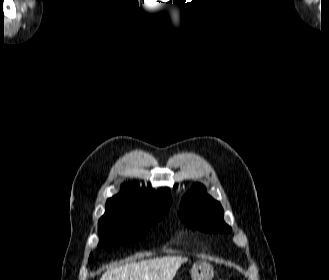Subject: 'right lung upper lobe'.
<instances>
[{
  "instance_id": "obj_1",
  "label": "right lung upper lobe",
  "mask_w": 329,
  "mask_h": 280,
  "mask_svg": "<svg viewBox=\"0 0 329 280\" xmlns=\"http://www.w3.org/2000/svg\"><path fill=\"white\" fill-rule=\"evenodd\" d=\"M172 197L168 188H162L157 193L153 189L137 188L124 185L122 191L109 198L106 204L131 206L142 211H151L157 206L171 205Z\"/></svg>"
}]
</instances>
